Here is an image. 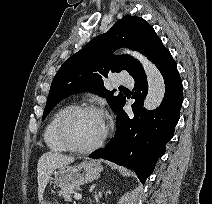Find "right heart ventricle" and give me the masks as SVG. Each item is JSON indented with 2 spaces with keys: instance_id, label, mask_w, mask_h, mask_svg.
Returning a JSON list of instances; mask_svg holds the SVG:
<instances>
[{
  "instance_id": "obj_1",
  "label": "right heart ventricle",
  "mask_w": 212,
  "mask_h": 204,
  "mask_svg": "<svg viewBox=\"0 0 212 204\" xmlns=\"http://www.w3.org/2000/svg\"><path fill=\"white\" fill-rule=\"evenodd\" d=\"M70 106L59 108L49 120L44 130V141L47 147L54 152H66L67 148L60 141L57 134V124L62 113Z\"/></svg>"
}]
</instances>
